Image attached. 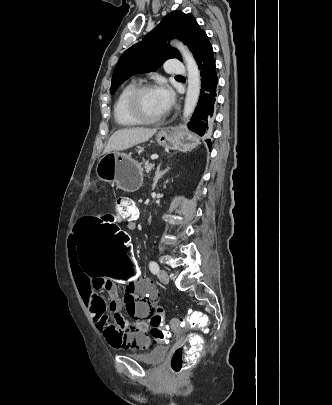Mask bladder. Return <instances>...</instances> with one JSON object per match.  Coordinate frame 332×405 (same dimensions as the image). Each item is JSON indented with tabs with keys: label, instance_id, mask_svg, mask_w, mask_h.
<instances>
[{
	"label": "bladder",
	"instance_id": "bladder-1",
	"mask_svg": "<svg viewBox=\"0 0 332 405\" xmlns=\"http://www.w3.org/2000/svg\"><path fill=\"white\" fill-rule=\"evenodd\" d=\"M168 347L161 345L153 348L152 350L144 353L131 352V355L137 360L147 365L160 364L166 357Z\"/></svg>",
	"mask_w": 332,
	"mask_h": 405
}]
</instances>
